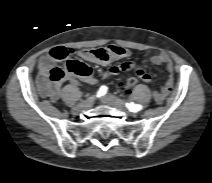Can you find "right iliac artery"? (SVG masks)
I'll list each match as a JSON object with an SVG mask.
<instances>
[{
	"label": "right iliac artery",
	"instance_id": "obj_1",
	"mask_svg": "<svg viewBox=\"0 0 212 183\" xmlns=\"http://www.w3.org/2000/svg\"><path fill=\"white\" fill-rule=\"evenodd\" d=\"M107 92V87L106 86H101L100 89L97 92V97L105 95Z\"/></svg>",
	"mask_w": 212,
	"mask_h": 183
}]
</instances>
